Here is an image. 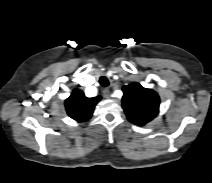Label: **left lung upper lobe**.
<instances>
[{
    "instance_id": "1",
    "label": "left lung upper lobe",
    "mask_w": 212,
    "mask_h": 183,
    "mask_svg": "<svg viewBox=\"0 0 212 183\" xmlns=\"http://www.w3.org/2000/svg\"><path fill=\"white\" fill-rule=\"evenodd\" d=\"M122 107L130 122L143 126L159 112V96L152 89L131 83L123 87Z\"/></svg>"
}]
</instances>
